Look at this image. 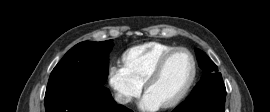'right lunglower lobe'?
<instances>
[{
    "label": "right lung lower lobe",
    "instance_id": "right-lung-lower-lobe-1",
    "mask_svg": "<svg viewBox=\"0 0 270 112\" xmlns=\"http://www.w3.org/2000/svg\"><path fill=\"white\" fill-rule=\"evenodd\" d=\"M44 102L45 112H133L118 105L105 87L89 90L63 84L46 92Z\"/></svg>",
    "mask_w": 270,
    "mask_h": 112
}]
</instances>
